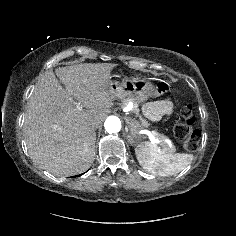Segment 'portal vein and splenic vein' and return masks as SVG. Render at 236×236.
<instances>
[{
	"label": "portal vein and splenic vein",
	"instance_id": "obj_1",
	"mask_svg": "<svg viewBox=\"0 0 236 236\" xmlns=\"http://www.w3.org/2000/svg\"><path fill=\"white\" fill-rule=\"evenodd\" d=\"M77 109L78 110H83V107L80 105V103H77L76 105ZM155 131H148V135H149V138L151 140L152 143H159V140L155 137Z\"/></svg>",
	"mask_w": 236,
	"mask_h": 236
}]
</instances>
